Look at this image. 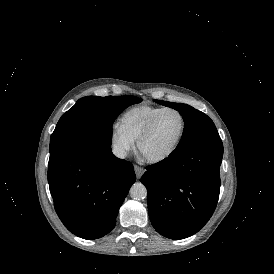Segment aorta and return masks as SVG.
<instances>
[{"instance_id": "aorta-1", "label": "aorta", "mask_w": 274, "mask_h": 274, "mask_svg": "<svg viewBox=\"0 0 274 274\" xmlns=\"http://www.w3.org/2000/svg\"><path fill=\"white\" fill-rule=\"evenodd\" d=\"M130 196L135 200L144 199L147 196V189L140 182L134 183L130 188Z\"/></svg>"}]
</instances>
